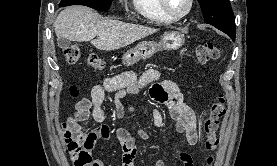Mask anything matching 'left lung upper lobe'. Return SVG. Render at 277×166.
<instances>
[{"label": "left lung upper lobe", "instance_id": "1", "mask_svg": "<svg viewBox=\"0 0 277 166\" xmlns=\"http://www.w3.org/2000/svg\"><path fill=\"white\" fill-rule=\"evenodd\" d=\"M205 22L235 40V22L229 0H198Z\"/></svg>", "mask_w": 277, "mask_h": 166}]
</instances>
